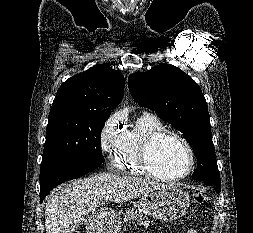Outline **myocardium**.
I'll list each match as a JSON object with an SVG mask.
<instances>
[{
  "label": "myocardium",
  "instance_id": "1",
  "mask_svg": "<svg viewBox=\"0 0 253 233\" xmlns=\"http://www.w3.org/2000/svg\"><path fill=\"white\" fill-rule=\"evenodd\" d=\"M165 138H171L174 139L175 141L179 142L182 144L186 150L188 151L189 154V167L187 171L181 175L178 176H164L158 174L152 167L151 165V154L156 146V144L165 139ZM195 152L193 150V147L191 144L181 135L167 129H163L160 131H157L150 136L147 137V139L144 141L142 148H141V153H140V163L144 171L151 177L161 180V181H166V182H175V181H180L185 178H187L193 171L194 166H195Z\"/></svg>",
  "mask_w": 253,
  "mask_h": 233
}]
</instances>
